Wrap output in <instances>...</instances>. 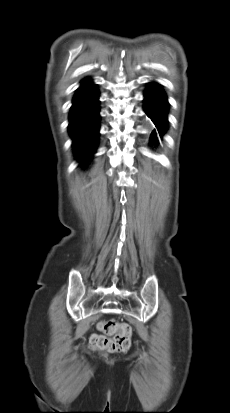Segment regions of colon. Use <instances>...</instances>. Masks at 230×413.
Wrapping results in <instances>:
<instances>
[{
  "label": "colon",
  "instance_id": "colon-1",
  "mask_svg": "<svg viewBox=\"0 0 230 413\" xmlns=\"http://www.w3.org/2000/svg\"><path fill=\"white\" fill-rule=\"evenodd\" d=\"M102 334L90 337L92 349L102 352H122L131 346L132 329L128 324L119 323L115 319L102 321L99 326Z\"/></svg>",
  "mask_w": 230,
  "mask_h": 413
}]
</instances>
